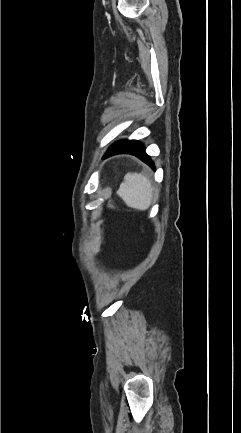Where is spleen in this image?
Instances as JSON below:
<instances>
[{
    "label": "spleen",
    "instance_id": "obj_1",
    "mask_svg": "<svg viewBox=\"0 0 241 433\" xmlns=\"http://www.w3.org/2000/svg\"><path fill=\"white\" fill-rule=\"evenodd\" d=\"M117 194L125 204L136 210H147L152 202L153 188L149 179L141 173H128Z\"/></svg>",
    "mask_w": 241,
    "mask_h": 433
}]
</instances>
